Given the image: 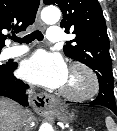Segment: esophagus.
<instances>
[{
    "instance_id": "obj_1",
    "label": "esophagus",
    "mask_w": 117,
    "mask_h": 131,
    "mask_svg": "<svg viewBox=\"0 0 117 131\" xmlns=\"http://www.w3.org/2000/svg\"><path fill=\"white\" fill-rule=\"evenodd\" d=\"M42 6L43 1L41 0L36 16V23L40 29L45 30L46 26L40 17V11L42 9ZM53 103H54L53 97L46 93H39L35 95L31 100V105L33 109L39 114L50 113L53 109Z\"/></svg>"
}]
</instances>
